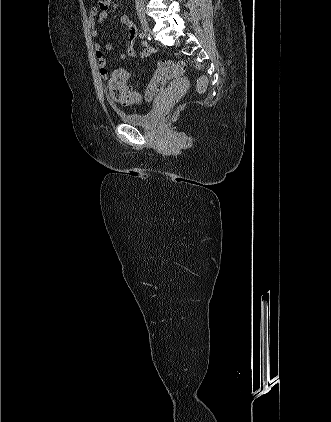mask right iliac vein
Here are the masks:
<instances>
[{
  "mask_svg": "<svg viewBox=\"0 0 331 422\" xmlns=\"http://www.w3.org/2000/svg\"><path fill=\"white\" fill-rule=\"evenodd\" d=\"M139 19H140L141 26H142L143 30L145 31V33L147 35H150V27H149V24H148V21H147V18L145 17V15H140Z\"/></svg>",
  "mask_w": 331,
  "mask_h": 422,
  "instance_id": "obj_1",
  "label": "right iliac vein"
}]
</instances>
